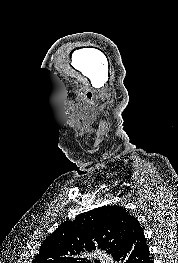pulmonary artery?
Segmentation results:
<instances>
[{"mask_svg": "<svg viewBox=\"0 0 178 263\" xmlns=\"http://www.w3.org/2000/svg\"><path fill=\"white\" fill-rule=\"evenodd\" d=\"M98 256L102 263H113V261L102 253H98Z\"/></svg>", "mask_w": 178, "mask_h": 263, "instance_id": "e3ab8cb5", "label": "pulmonary artery"}]
</instances>
